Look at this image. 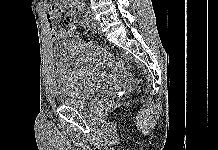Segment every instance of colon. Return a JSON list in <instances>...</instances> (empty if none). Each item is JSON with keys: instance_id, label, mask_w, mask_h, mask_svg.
I'll return each mask as SVG.
<instances>
[{"instance_id": "1", "label": "colon", "mask_w": 218, "mask_h": 150, "mask_svg": "<svg viewBox=\"0 0 218 150\" xmlns=\"http://www.w3.org/2000/svg\"><path fill=\"white\" fill-rule=\"evenodd\" d=\"M64 24L68 28L67 37L70 40H76L78 38V31L76 28L77 17L75 13L68 12L64 18Z\"/></svg>"}]
</instances>
